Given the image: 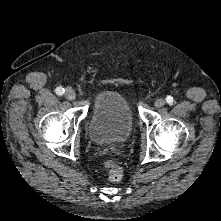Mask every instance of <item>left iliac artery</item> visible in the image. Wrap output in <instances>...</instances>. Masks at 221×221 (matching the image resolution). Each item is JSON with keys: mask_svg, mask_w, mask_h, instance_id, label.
<instances>
[{"mask_svg": "<svg viewBox=\"0 0 221 221\" xmlns=\"http://www.w3.org/2000/svg\"><path fill=\"white\" fill-rule=\"evenodd\" d=\"M173 97L172 96H167V98H166V102L168 103V104H171L172 102H173Z\"/></svg>", "mask_w": 221, "mask_h": 221, "instance_id": "44dca946", "label": "left iliac artery"}]
</instances>
